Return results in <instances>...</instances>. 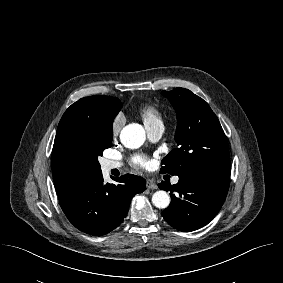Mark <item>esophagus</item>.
I'll use <instances>...</instances> for the list:
<instances>
[{
    "label": "esophagus",
    "instance_id": "1",
    "mask_svg": "<svg viewBox=\"0 0 283 283\" xmlns=\"http://www.w3.org/2000/svg\"><path fill=\"white\" fill-rule=\"evenodd\" d=\"M146 187L148 189H157V184L153 180H147Z\"/></svg>",
    "mask_w": 283,
    "mask_h": 283
}]
</instances>
